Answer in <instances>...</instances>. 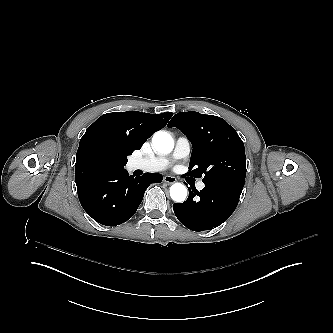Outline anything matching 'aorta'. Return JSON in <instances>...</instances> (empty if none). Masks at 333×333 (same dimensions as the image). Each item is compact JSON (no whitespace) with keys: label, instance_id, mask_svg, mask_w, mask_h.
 Returning a JSON list of instances; mask_svg holds the SVG:
<instances>
[{"label":"aorta","instance_id":"762f6f07","mask_svg":"<svg viewBox=\"0 0 333 333\" xmlns=\"http://www.w3.org/2000/svg\"><path fill=\"white\" fill-rule=\"evenodd\" d=\"M152 145L156 152L170 153L174 147L173 138L165 131H156L152 137ZM169 194L174 201L182 202L187 196V188L181 183H173L169 188Z\"/></svg>","mask_w":333,"mask_h":333}]
</instances>
